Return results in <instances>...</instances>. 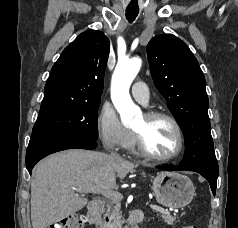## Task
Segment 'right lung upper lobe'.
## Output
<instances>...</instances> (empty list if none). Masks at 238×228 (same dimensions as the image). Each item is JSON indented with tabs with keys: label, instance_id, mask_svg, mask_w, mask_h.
<instances>
[{
	"label": "right lung upper lobe",
	"instance_id": "cb5924a9",
	"mask_svg": "<svg viewBox=\"0 0 238 228\" xmlns=\"http://www.w3.org/2000/svg\"><path fill=\"white\" fill-rule=\"evenodd\" d=\"M109 48L108 38L98 30L83 32L70 43L51 69L39 115L100 102Z\"/></svg>",
	"mask_w": 238,
	"mask_h": 228
}]
</instances>
